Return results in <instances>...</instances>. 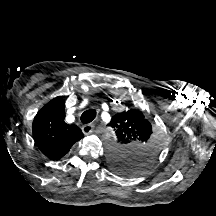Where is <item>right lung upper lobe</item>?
Masks as SVG:
<instances>
[{
	"label": "right lung upper lobe",
	"instance_id": "cb5924a9",
	"mask_svg": "<svg viewBox=\"0 0 216 216\" xmlns=\"http://www.w3.org/2000/svg\"><path fill=\"white\" fill-rule=\"evenodd\" d=\"M64 108L63 97H56L37 113L33 121L34 141L51 160L62 158L84 136L79 127L64 121Z\"/></svg>",
	"mask_w": 216,
	"mask_h": 216
}]
</instances>
